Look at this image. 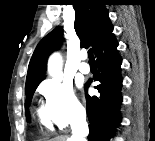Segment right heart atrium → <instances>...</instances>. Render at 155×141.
<instances>
[{"instance_id":"1","label":"right heart atrium","mask_w":155,"mask_h":141,"mask_svg":"<svg viewBox=\"0 0 155 141\" xmlns=\"http://www.w3.org/2000/svg\"><path fill=\"white\" fill-rule=\"evenodd\" d=\"M48 119L60 129L83 119L84 109L69 82L51 78L39 86Z\"/></svg>"}]
</instances>
